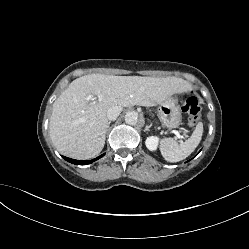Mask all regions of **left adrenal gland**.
Segmentation results:
<instances>
[{"label": "left adrenal gland", "mask_w": 249, "mask_h": 249, "mask_svg": "<svg viewBox=\"0 0 249 249\" xmlns=\"http://www.w3.org/2000/svg\"><path fill=\"white\" fill-rule=\"evenodd\" d=\"M150 127H151V125H147V126L145 127V131H150Z\"/></svg>", "instance_id": "left-adrenal-gland-1"}]
</instances>
